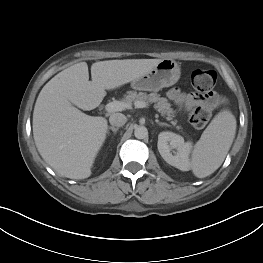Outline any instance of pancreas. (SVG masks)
Instances as JSON below:
<instances>
[{
	"label": "pancreas",
	"mask_w": 263,
	"mask_h": 263,
	"mask_svg": "<svg viewBox=\"0 0 263 263\" xmlns=\"http://www.w3.org/2000/svg\"><path fill=\"white\" fill-rule=\"evenodd\" d=\"M136 101H144L148 103H155L154 108L161 113L162 116L166 117L168 121H171L172 125L177 124V120H173L175 117V111L171 108V104L168 100L164 97H160L157 93H144V92H136V91H129L123 102L131 105L133 102ZM177 129H181L180 126H177Z\"/></svg>",
	"instance_id": "cf45deb5"
}]
</instances>
